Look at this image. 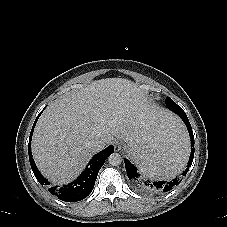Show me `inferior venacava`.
Segmentation results:
<instances>
[{
  "instance_id": "inferior-vena-cava-1",
  "label": "inferior vena cava",
  "mask_w": 227,
  "mask_h": 227,
  "mask_svg": "<svg viewBox=\"0 0 227 227\" xmlns=\"http://www.w3.org/2000/svg\"><path fill=\"white\" fill-rule=\"evenodd\" d=\"M89 146L95 151H100L106 146V141L104 139L96 138L89 142Z\"/></svg>"
}]
</instances>
